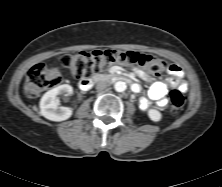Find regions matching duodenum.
<instances>
[{"label":"duodenum","mask_w":222,"mask_h":187,"mask_svg":"<svg viewBox=\"0 0 222 187\" xmlns=\"http://www.w3.org/2000/svg\"><path fill=\"white\" fill-rule=\"evenodd\" d=\"M107 80L129 82L130 77L126 74L118 73V72H114V73H111L108 75H97L92 80L81 81L79 84V87H80V89L87 91L92 87L94 81H107Z\"/></svg>","instance_id":"obj_1"}]
</instances>
